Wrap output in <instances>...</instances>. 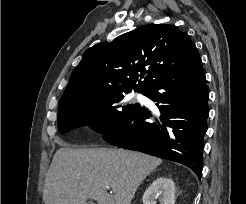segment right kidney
I'll use <instances>...</instances> for the list:
<instances>
[{
	"mask_svg": "<svg viewBox=\"0 0 246 204\" xmlns=\"http://www.w3.org/2000/svg\"><path fill=\"white\" fill-rule=\"evenodd\" d=\"M175 204V184L172 179H155L143 194L144 204Z\"/></svg>",
	"mask_w": 246,
	"mask_h": 204,
	"instance_id": "ca27d5eb",
	"label": "right kidney"
}]
</instances>
